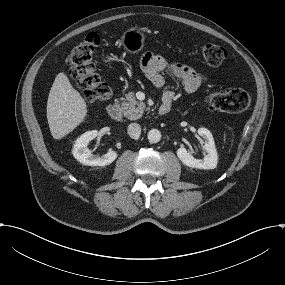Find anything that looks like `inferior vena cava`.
Masks as SVG:
<instances>
[{
	"label": "inferior vena cava",
	"mask_w": 285,
	"mask_h": 285,
	"mask_svg": "<svg viewBox=\"0 0 285 285\" xmlns=\"http://www.w3.org/2000/svg\"><path fill=\"white\" fill-rule=\"evenodd\" d=\"M128 134L133 139H138L141 134V127L137 123H131L128 126Z\"/></svg>",
	"instance_id": "602c4592"
}]
</instances>
